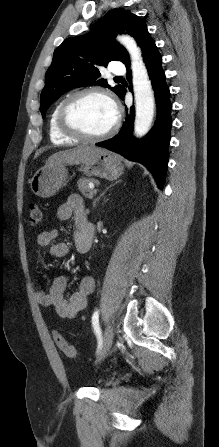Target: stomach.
Wrapping results in <instances>:
<instances>
[{"mask_svg": "<svg viewBox=\"0 0 219 447\" xmlns=\"http://www.w3.org/2000/svg\"><path fill=\"white\" fill-rule=\"evenodd\" d=\"M80 169L87 175L112 181L123 174L124 167L118 155L104 150ZM67 177L65 164L45 165L30 179L31 191L39 197L49 198L65 186Z\"/></svg>", "mask_w": 219, "mask_h": 447, "instance_id": "0dacf381", "label": "stomach"}]
</instances>
